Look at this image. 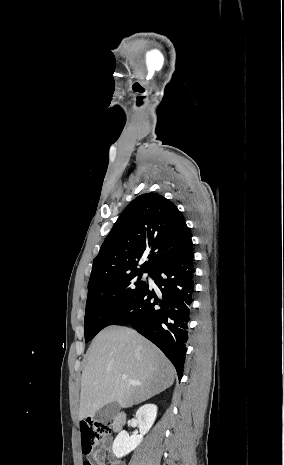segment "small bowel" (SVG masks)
Here are the masks:
<instances>
[{"mask_svg": "<svg viewBox=\"0 0 284 465\" xmlns=\"http://www.w3.org/2000/svg\"><path fill=\"white\" fill-rule=\"evenodd\" d=\"M109 451H110V448H109L107 441L101 442L97 446V449L93 455V459L95 461V463L92 462L93 465H104V462L108 457ZM111 465H121V461L114 460L113 462H111Z\"/></svg>", "mask_w": 284, "mask_h": 465, "instance_id": "1", "label": "small bowel"}]
</instances>
